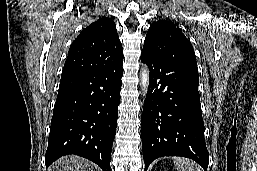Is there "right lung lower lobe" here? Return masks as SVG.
I'll list each match as a JSON object with an SVG mask.
<instances>
[{
  "label": "right lung lower lobe",
  "instance_id": "98d812e1",
  "mask_svg": "<svg viewBox=\"0 0 257 171\" xmlns=\"http://www.w3.org/2000/svg\"><path fill=\"white\" fill-rule=\"evenodd\" d=\"M123 61L80 75L61 76L53 110L45 165L75 154L110 171Z\"/></svg>",
  "mask_w": 257,
  "mask_h": 171
}]
</instances>
